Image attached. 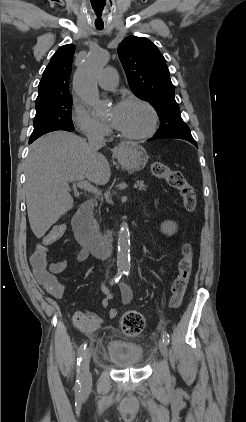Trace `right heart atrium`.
<instances>
[{
	"mask_svg": "<svg viewBox=\"0 0 246 422\" xmlns=\"http://www.w3.org/2000/svg\"><path fill=\"white\" fill-rule=\"evenodd\" d=\"M72 120L77 129L88 138H102L109 133L104 123L95 119L89 111L79 104H74Z\"/></svg>",
	"mask_w": 246,
	"mask_h": 422,
	"instance_id": "1",
	"label": "right heart atrium"
}]
</instances>
